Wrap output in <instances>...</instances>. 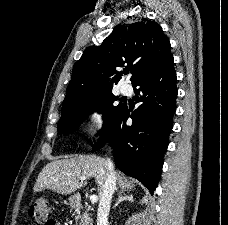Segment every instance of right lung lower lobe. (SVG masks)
Listing matches in <instances>:
<instances>
[{"label":"right lung lower lobe","mask_w":228,"mask_h":225,"mask_svg":"<svg viewBox=\"0 0 228 225\" xmlns=\"http://www.w3.org/2000/svg\"><path fill=\"white\" fill-rule=\"evenodd\" d=\"M173 66L171 54L133 85L139 86L136 100L141 105L131 114L124 106L93 148V151L100 150L109 142L117 168L142 182L150 193L160 178L163 154L168 146L176 110V73ZM129 117L133 120L130 126L126 125Z\"/></svg>","instance_id":"98d812e1"}]
</instances>
